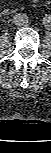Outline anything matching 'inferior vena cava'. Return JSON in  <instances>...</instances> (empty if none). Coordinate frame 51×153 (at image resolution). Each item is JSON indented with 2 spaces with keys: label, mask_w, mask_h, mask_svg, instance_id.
Here are the masks:
<instances>
[{
  "label": "inferior vena cava",
  "mask_w": 51,
  "mask_h": 153,
  "mask_svg": "<svg viewBox=\"0 0 51 153\" xmlns=\"http://www.w3.org/2000/svg\"><path fill=\"white\" fill-rule=\"evenodd\" d=\"M13 23L16 26L25 25L28 23V16L24 13H17L13 16Z\"/></svg>",
  "instance_id": "inferior-vena-cava-1"
}]
</instances>
